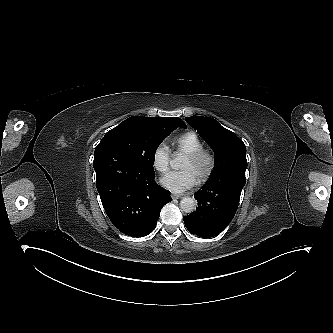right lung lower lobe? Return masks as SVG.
<instances>
[{
  "instance_id": "right-lung-lower-lobe-1",
  "label": "right lung lower lobe",
  "mask_w": 333,
  "mask_h": 333,
  "mask_svg": "<svg viewBox=\"0 0 333 333\" xmlns=\"http://www.w3.org/2000/svg\"><path fill=\"white\" fill-rule=\"evenodd\" d=\"M96 187L110 221L124 234L143 237L157 225L170 192L156 184L155 172L145 169L116 144L94 153Z\"/></svg>"
}]
</instances>
